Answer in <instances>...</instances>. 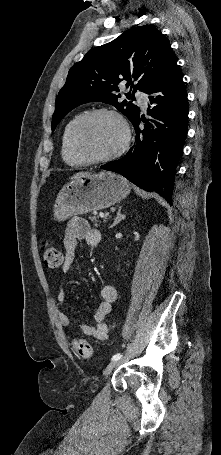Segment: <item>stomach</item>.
<instances>
[{
  "instance_id": "1",
  "label": "stomach",
  "mask_w": 221,
  "mask_h": 455,
  "mask_svg": "<svg viewBox=\"0 0 221 455\" xmlns=\"http://www.w3.org/2000/svg\"><path fill=\"white\" fill-rule=\"evenodd\" d=\"M130 189L126 179L108 171L79 177L58 193L53 208L54 218L64 221L74 215L108 208L123 200Z\"/></svg>"
}]
</instances>
